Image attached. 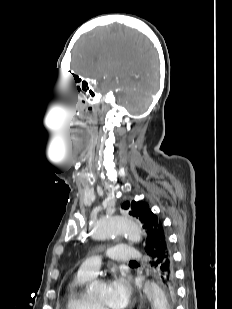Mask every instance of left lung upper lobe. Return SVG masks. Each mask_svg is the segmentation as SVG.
Masks as SVG:
<instances>
[{"label":"left lung upper lobe","mask_w":232,"mask_h":309,"mask_svg":"<svg viewBox=\"0 0 232 309\" xmlns=\"http://www.w3.org/2000/svg\"><path fill=\"white\" fill-rule=\"evenodd\" d=\"M122 208L129 210V214L142 223V227L146 232L145 248L148 247L155 239L158 226L162 225V222L153 212H151L147 203L140 201H132L131 203L125 202L122 205ZM165 293L169 304L172 305L175 301L176 293L174 295H171L166 291Z\"/></svg>","instance_id":"left-lung-upper-lobe-1"}]
</instances>
